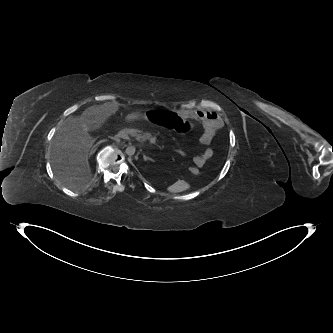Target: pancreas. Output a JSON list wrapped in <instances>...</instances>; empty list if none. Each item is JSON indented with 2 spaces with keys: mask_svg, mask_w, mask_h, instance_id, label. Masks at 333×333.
<instances>
[{
  "mask_svg": "<svg viewBox=\"0 0 333 333\" xmlns=\"http://www.w3.org/2000/svg\"><path fill=\"white\" fill-rule=\"evenodd\" d=\"M126 134H129L132 137H135V139L139 142H143L146 140H152L155 137L152 136L151 133H144L141 130L138 129H129V130H125Z\"/></svg>",
  "mask_w": 333,
  "mask_h": 333,
  "instance_id": "obj_1",
  "label": "pancreas"
}]
</instances>
